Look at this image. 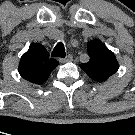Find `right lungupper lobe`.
<instances>
[{
  "label": "right lung upper lobe",
  "mask_w": 135,
  "mask_h": 135,
  "mask_svg": "<svg viewBox=\"0 0 135 135\" xmlns=\"http://www.w3.org/2000/svg\"><path fill=\"white\" fill-rule=\"evenodd\" d=\"M57 65L58 61L49 58V53L43 45L33 43L22 55L18 70L22 78L40 85L47 80Z\"/></svg>",
  "instance_id": "cb5924a9"
}]
</instances>
